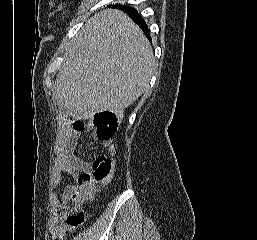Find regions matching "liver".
I'll list each match as a JSON object with an SVG mask.
<instances>
[{"label":"liver","mask_w":257,"mask_h":240,"mask_svg":"<svg viewBox=\"0 0 257 240\" xmlns=\"http://www.w3.org/2000/svg\"><path fill=\"white\" fill-rule=\"evenodd\" d=\"M155 59L141 29L125 13L107 9L92 17L66 49L54 99L73 117L126 107L149 87Z\"/></svg>","instance_id":"1"}]
</instances>
